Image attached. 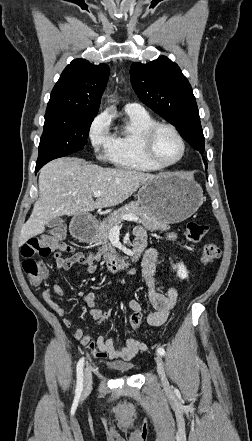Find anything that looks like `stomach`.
<instances>
[{
  "label": "stomach",
  "mask_w": 252,
  "mask_h": 441,
  "mask_svg": "<svg viewBox=\"0 0 252 441\" xmlns=\"http://www.w3.org/2000/svg\"><path fill=\"white\" fill-rule=\"evenodd\" d=\"M199 184L182 173H162L142 185L138 203L146 213L169 224L192 216L203 203Z\"/></svg>",
  "instance_id": "obj_1"
}]
</instances>
